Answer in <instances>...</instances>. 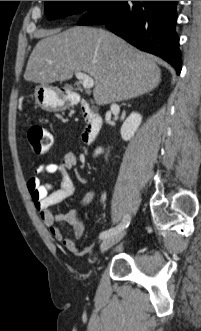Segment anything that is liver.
Listing matches in <instances>:
<instances>
[{"mask_svg":"<svg viewBox=\"0 0 201 331\" xmlns=\"http://www.w3.org/2000/svg\"><path fill=\"white\" fill-rule=\"evenodd\" d=\"M76 72L93 78L98 105L141 96L161 81L152 56L108 31L89 27L47 32L29 57L24 79L46 86L70 80Z\"/></svg>","mask_w":201,"mask_h":331,"instance_id":"6515ba94","label":"liver"}]
</instances>
